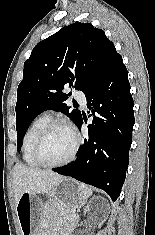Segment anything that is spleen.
<instances>
[{
  "instance_id": "spleen-1",
  "label": "spleen",
  "mask_w": 155,
  "mask_h": 235,
  "mask_svg": "<svg viewBox=\"0 0 155 235\" xmlns=\"http://www.w3.org/2000/svg\"><path fill=\"white\" fill-rule=\"evenodd\" d=\"M80 189L82 190V192L84 193V195L87 197L92 195V190L91 188H89L88 186H86L85 184L80 183L79 184Z\"/></svg>"
}]
</instances>
